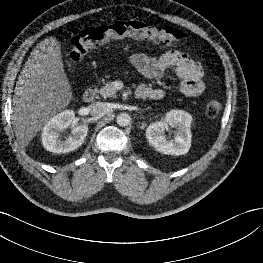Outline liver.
<instances>
[{"mask_svg": "<svg viewBox=\"0 0 263 263\" xmlns=\"http://www.w3.org/2000/svg\"><path fill=\"white\" fill-rule=\"evenodd\" d=\"M71 98L61 45L55 37H48L31 52L14 90L12 120L20 146L27 147L52 116L69 105Z\"/></svg>", "mask_w": 263, "mask_h": 263, "instance_id": "1", "label": "liver"}]
</instances>
